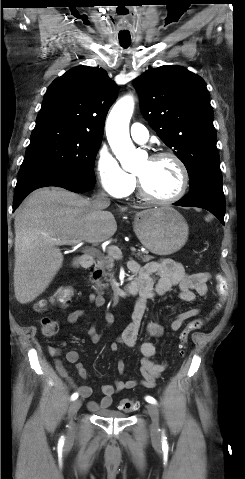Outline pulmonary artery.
Returning a JSON list of instances; mask_svg holds the SVG:
<instances>
[{
    "instance_id": "1",
    "label": "pulmonary artery",
    "mask_w": 245,
    "mask_h": 479,
    "mask_svg": "<svg viewBox=\"0 0 245 479\" xmlns=\"http://www.w3.org/2000/svg\"><path fill=\"white\" fill-rule=\"evenodd\" d=\"M130 135L137 143H145L149 138L147 128L140 123H133L130 127Z\"/></svg>"
}]
</instances>
